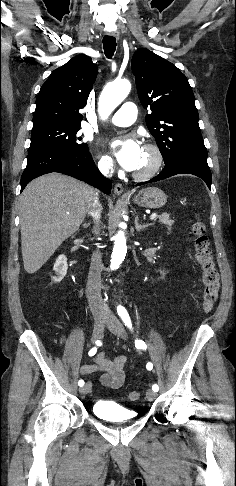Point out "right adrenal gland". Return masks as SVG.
<instances>
[{
	"label": "right adrenal gland",
	"mask_w": 236,
	"mask_h": 486,
	"mask_svg": "<svg viewBox=\"0 0 236 486\" xmlns=\"http://www.w3.org/2000/svg\"><path fill=\"white\" fill-rule=\"evenodd\" d=\"M89 226H90V223H84V224H83V227H84V228H88Z\"/></svg>",
	"instance_id": "2a0ac1e0"
}]
</instances>
